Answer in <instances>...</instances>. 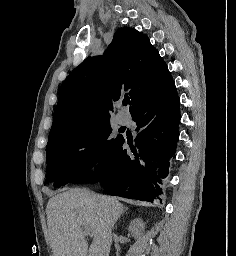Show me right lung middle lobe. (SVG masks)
I'll list each match as a JSON object with an SVG mask.
<instances>
[{"instance_id": "obj_1", "label": "right lung middle lobe", "mask_w": 236, "mask_h": 256, "mask_svg": "<svg viewBox=\"0 0 236 256\" xmlns=\"http://www.w3.org/2000/svg\"><path fill=\"white\" fill-rule=\"evenodd\" d=\"M110 120L98 121L74 128L50 138L46 147V183L60 187L82 174L90 173L107 159L123 136L110 138Z\"/></svg>"}]
</instances>
